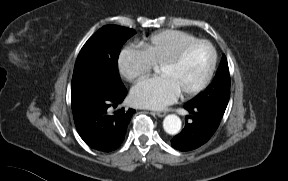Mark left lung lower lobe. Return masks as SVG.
Returning a JSON list of instances; mask_svg holds the SVG:
<instances>
[{"instance_id":"0a47b994","label":"left lung lower lobe","mask_w":288,"mask_h":181,"mask_svg":"<svg viewBox=\"0 0 288 181\" xmlns=\"http://www.w3.org/2000/svg\"><path fill=\"white\" fill-rule=\"evenodd\" d=\"M185 109L191 114L189 118L192 122L186 121L181 133L171 140L172 147L180 151H190L205 144L218 128L224 114L207 105L187 104Z\"/></svg>"}]
</instances>
